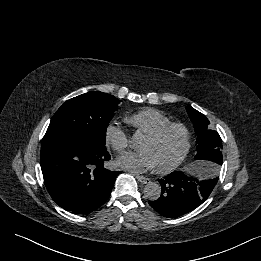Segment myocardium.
<instances>
[{
  "label": "myocardium",
  "mask_w": 261,
  "mask_h": 261,
  "mask_svg": "<svg viewBox=\"0 0 261 261\" xmlns=\"http://www.w3.org/2000/svg\"><path fill=\"white\" fill-rule=\"evenodd\" d=\"M173 129H179L182 131L183 135H184V147L183 150L181 152V154L170 164L163 166V167H157L156 170L159 173H169L173 170H175L177 167H179L187 158L190 149H191V132L189 130V128L180 122H171L169 124H166L164 126H162L161 128H159L158 130H156L155 132L148 134L146 136V138L152 140V141H159L161 140L168 132H170Z\"/></svg>",
  "instance_id": "obj_1"
}]
</instances>
